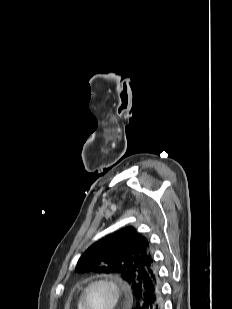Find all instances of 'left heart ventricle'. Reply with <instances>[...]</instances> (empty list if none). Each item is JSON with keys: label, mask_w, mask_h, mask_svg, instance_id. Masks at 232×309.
<instances>
[{"label": "left heart ventricle", "mask_w": 232, "mask_h": 309, "mask_svg": "<svg viewBox=\"0 0 232 309\" xmlns=\"http://www.w3.org/2000/svg\"><path fill=\"white\" fill-rule=\"evenodd\" d=\"M112 301V294L105 286H93L86 295V309H109Z\"/></svg>", "instance_id": "1"}]
</instances>
